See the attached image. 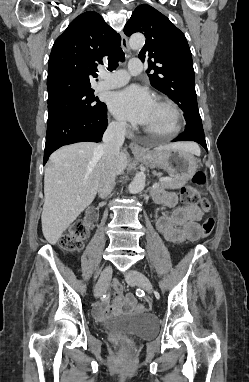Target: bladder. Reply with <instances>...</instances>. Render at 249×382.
Here are the masks:
<instances>
[{
  "mask_svg": "<svg viewBox=\"0 0 249 382\" xmlns=\"http://www.w3.org/2000/svg\"><path fill=\"white\" fill-rule=\"evenodd\" d=\"M103 328L140 338H151L157 333L158 321L148 313L122 315L106 320Z\"/></svg>",
  "mask_w": 249,
  "mask_h": 382,
  "instance_id": "obj_1",
  "label": "bladder"
}]
</instances>
